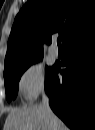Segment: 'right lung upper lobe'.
<instances>
[{
  "label": "right lung upper lobe",
  "mask_w": 95,
  "mask_h": 130,
  "mask_svg": "<svg viewBox=\"0 0 95 130\" xmlns=\"http://www.w3.org/2000/svg\"><path fill=\"white\" fill-rule=\"evenodd\" d=\"M95 29V0H29L15 18L8 40L4 70L43 56L38 38L51 42L59 32L63 44Z\"/></svg>",
  "instance_id": "1"
}]
</instances>
